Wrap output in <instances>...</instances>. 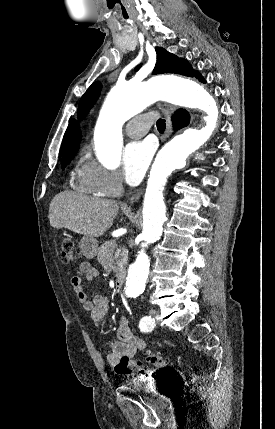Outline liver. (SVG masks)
I'll use <instances>...</instances> for the list:
<instances>
[{
	"instance_id": "1",
	"label": "liver",
	"mask_w": 275,
	"mask_h": 429,
	"mask_svg": "<svg viewBox=\"0 0 275 429\" xmlns=\"http://www.w3.org/2000/svg\"><path fill=\"white\" fill-rule=\"evenodd\" d=\"M118 211L119 205L114 200L63 191L49 205V221L53 228H67L94 238L103 235L112 226Z\"/></svg>"
}]
</instances>
